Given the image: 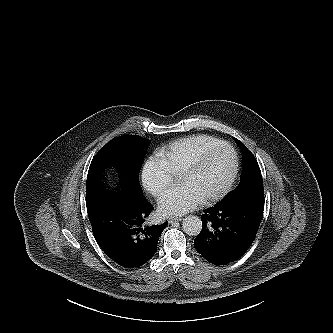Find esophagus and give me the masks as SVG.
Masks as SVG:
<instances>
[{
    "instance_id": "obj_1",
    "label": "esophagus",
    "mask_w": 333,
    "mask_h": 333,
    "mask_svg": "<svg viewBox=\"0 0 333 333\" xmlns=\"http://www.w3.org/2000/svg\"><path fill=\"white\" fill-rule=\"evenodd\" d=\"M181 220H182L181 217H170L169 218V223L178 222V221H181Z\"/></svg>"
}]
</instances>
